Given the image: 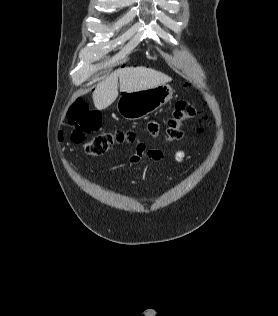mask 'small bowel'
<instances>
[{"instance_id": "obj_1", "label": "small bowel", "mask_w": 278, "mask_h": 316, "mask_svg": "<svg viewBox=\"0 0 278 316\" xmlns=\"http://www.w3.org/2000/svg\"><path fill=\"white\" fill-rule=\"evenodd\" d=\"M148 129L153 136H156L158 134L159 127L157 123L151 122L148 125ZM185 157H186V152L182 149L176 151L174 155V159L178 163H182ZM147 158L152 159V160H162L164 158V154L161 150H157V149L148 150L144 144H140L137 147L135 153H133L129 157V163L135 164Z\"/></svg>"}]
</instances>
